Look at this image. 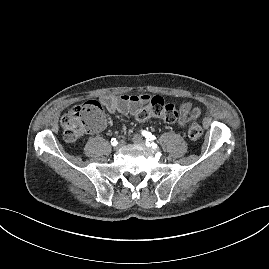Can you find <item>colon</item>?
I'll return each instance as SVG.
<instances>
[{
    "instance_id": "colon-1",
    "label": "colon",
    "mask_w": 269,
    "mask_h": 269,
    "mask_svg": "<svg viewBox=\"0 0 269 269\" xmlns=\"http://www.w3.org/2000/svg\"><path fill=\"white\" fill-rule=\"evenodd\" d=\"M177 116L178 113L174 105L159 96L152 97L136 114L140 121H145L151 117H161L167 122H174ZM186 121L188 123V137L193 141L200 139L203 133L202 128L190 113L186 114ZM103 123V107L96 100H89L75 106L61 118L63 136L69 142L76 141L87 132L99 130Z\"/></svg>"
}]
</instances>
